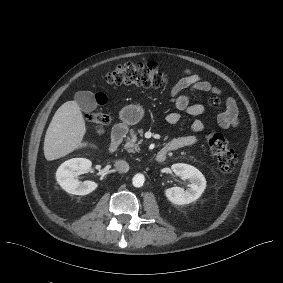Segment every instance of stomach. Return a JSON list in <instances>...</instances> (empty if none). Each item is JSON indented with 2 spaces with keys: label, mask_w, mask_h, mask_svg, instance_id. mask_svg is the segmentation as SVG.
I'll return each instance as SVG.
<instances>
[{
  "label": "stomach",
  "mask_w": 283,
  "mask_h": 283,
  "mask_svg": "<svg viewBox=\"0 0 283 283\" xmlns=\"http://www.w3.org/2000/svg\"><path fill=\"white\" fill-rule=\"evenodd\" d=\"M143 117V111L136 105H129L120 111V119L127 125L137 124Z\"/></svg>",
  "instance_id": "stomach-1"
}]
</instances>
